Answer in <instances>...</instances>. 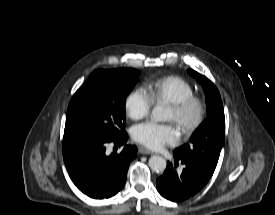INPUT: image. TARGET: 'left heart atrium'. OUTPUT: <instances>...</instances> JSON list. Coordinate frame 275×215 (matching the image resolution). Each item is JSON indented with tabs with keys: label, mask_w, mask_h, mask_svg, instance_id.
<instances>
[{
	"label": "left heart atrium",
	"mask_w": 275,
	"mask_h": 215,
	"mask_svg": "<svg viewBox=\"0 0 275 215\" xmlns=\"http://www.w3.org/2000/svg\"><path fill=\"white\" fill-rule=\"evenodd\" d=\"M132 137L148 148L159 149L167 144H175L178 141V132L172 123L147 121L133 127Z\"/></svg>",
	"instance_id": "left-heart-atrium-1"
}]
</instances>
